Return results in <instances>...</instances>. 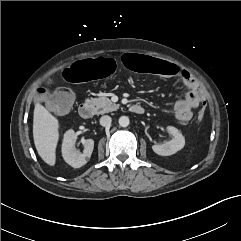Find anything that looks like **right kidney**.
I'll return each instance as SVG.
<instances>
[{
  "label": "right kidney",
  "instance_id": "right-kidney-1",
  "mask_svg": "<svg viewBox=\"0 0 241 241\" xmlns=\"http://www.w3.org/2000/svg\"><path fill=\"white\" fill-rule=\"evenodd\" d=\"M77 134L71 129L64 134L62 143V156L66 163L73 168H80L84 166L91 157L94 141L92 139L83 140V151L80 152L75 148Z\"/></svg>",
  "mask_w": 241,
  "mask_h": 241
}]
</instances>
